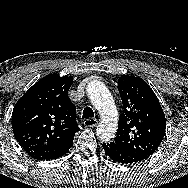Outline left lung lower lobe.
Wrapping results in <instances>:
<instances>
[{"label": "left lung lower lobe", "instance_id": "obj_1", "mask_svg": "<svg viewBox=\"0 0 188 188\" xmlns=\"http://www.w3.org/2000/svg\"><path fill=\"white\" fill-rule=\"evenodd\" d=\"M103 149L108 157L119 163H136L144 161L145 158L127 148H123L114 142L103 143Z\"/></svg>", "mask_w": 188, "mask_h": 188}]
</instances>
